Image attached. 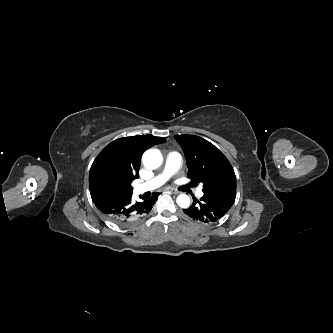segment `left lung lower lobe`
I'll list each match as a JSON object with an SVG mask.
<instances>
[{"instance_id": "obj_1", "label": "left lung lower lobe", "mask_w": 333, "mask_h": 333, "mask_svg": "<svg viewBox=\"0 0 333 333\" xmlns=\"http://www.w3.org/2000/svg\"><path fill=\"white\" fill-rule=\"evenodd\" d=\"M233 205L232 202L224 199L204 195L200 201L196 200L184 212L191 218L208 223L215 222L223 217Z\"/></svg>"}]
</instances>
